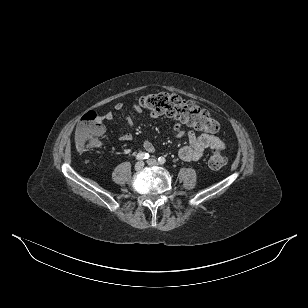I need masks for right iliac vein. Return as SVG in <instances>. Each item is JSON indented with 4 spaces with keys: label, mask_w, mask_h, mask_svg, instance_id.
<instances>
[{
    "label": "right iliac vein",
    "mask_w": 308,
    "mask_h": 308,
    "mask_svg": "<svg viewBox=\"0 0 308 308\" xmlns=\"http://www.w3.org/2000/svg\"><path fill=\"white\" fill-rule=\"evenodd\" d=\"M134 168H135L136 171H141L144 168V162H142V161L137 162L135 164Z\"/></svg>",
    "instance_id": "63e3f726"
}]
</instances>
